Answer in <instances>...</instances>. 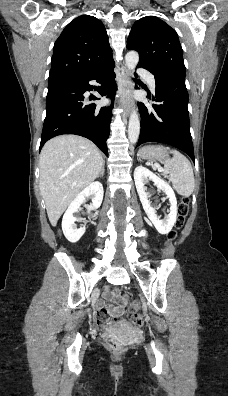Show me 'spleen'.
I'll use <instances>...</instances> for the list:
<instances>
[{
	"mask_svg": "<svg viewBox=\"0 0 228 396\" xmlns=\"http://www.w3.org/2000/svg\"><path fill=\"white\" fill-rule=\"evenodd\" d=\"M172 153L173 158L164 161L163 175L172 182L178 194L189 197L195 186L192 166L180 152L173 150Z\"/></svg>",
	"mask_w": 228,
	"mask_h": 396,
	"instance_id": "obj_1",
	"label": "spleen"
}]
</instances>
